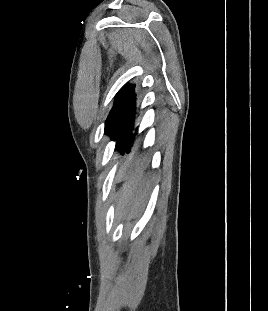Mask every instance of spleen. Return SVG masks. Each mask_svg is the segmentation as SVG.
<instances>
[{
  "label": "spleen",
  "instance_id": "spleen-1",
  "mask_svg": "<svg viewBox=\"0 0 268 311\" xmlns=\"http://www.w3.org/2000/svg\"><path fill=\"white\" fill-rule=\"evenodd\" d=\"M143 165L142 161L138 162ZM119 176L125 180L122 188L114 196L116 211L121 217L131 219L142 211L145 205L146 184L139 167H133L127 163L119 172Z\"/></svg>",
  "mask_w": 268,
  "mask_h": 311
}]
</instances>
